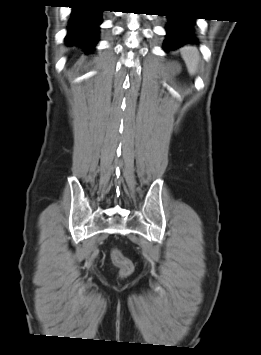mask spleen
Here are the masks:
<instances>
[{"mask_svg":"<svg viewBox=\"0 0 261 355\" xmlns=\"http://www.w3.org/2000/svg\"><path fill=\"white\" fill-rule=\"evenodd\" d=\"M190 75H195L198 71L200 54L196 47L186 46L180 50Z\"/></svg>","mask_w":261,"mask_h":355,"instance_id":"obj_1","label":"spleen"}]
</instances>
